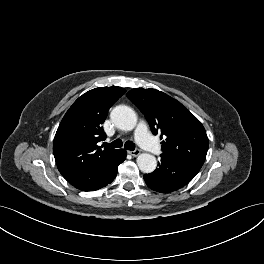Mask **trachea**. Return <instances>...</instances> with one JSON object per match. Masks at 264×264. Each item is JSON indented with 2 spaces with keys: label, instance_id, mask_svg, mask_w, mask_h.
Segmentation results:
<instances>
[{
  "label": "trachea",
  "instance_id": "3493384b",
  "mask_svg": "<svg viewBox=\"0 0 264 264\" xmlns=\"http://www.w3.org/2000/svg\"><path fill=\"white\" fill-rule=\"evenodd\" d=\"M104 146L113 147V148H120L123 146V143L120 139H117V140L113 141L112 143H104ZM124 148H126L127 150L133 151V150H135V144L131 141H127L124 144Z\"/></svg>",
  "mask_w": 264,
  "mask_h": 264
}]
</instances>
